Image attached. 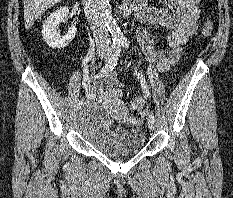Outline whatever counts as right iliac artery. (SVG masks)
Returning <instances> with one entry per match:
<instances>
[{"mask_svg": "<svg viewBox=\"0 0 233 198\" xmlns=\"http://www.w3.org/2000/svg\"><path fill=\"white\" fill-rule=\"evenodd\" d=\"M120 52H121V44L119 42L113 43V50L111 57L105 63V65L100 70V72L95 76V78H102L115 68V66L117 65ZM82 105H83V101L79 100L77 102V106L81 107Z\"/></svg>", "mask_w": 233, "mask_h": 198, "instance_id": "right-iliac-artery-1", "label": "right iliac artery"}]
</instances>
